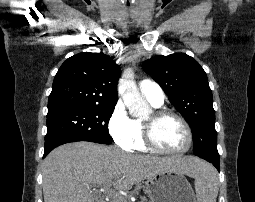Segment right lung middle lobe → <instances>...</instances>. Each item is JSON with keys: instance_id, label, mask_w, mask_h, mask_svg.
<instances>
[{"instance_id": "1", "label": "right lung middle lobe", "mask_w": 255, "mask_h": 202, "mask_svg": "<svg viewBox=\"0 0 255 202\" xmlns=\"http://www.w3.org/2000/svg\"><path fill=\"white\" fill-rule=\"evenodd\" d=\"M115 105H88L47 114L45 143L55 139L71 138L110 144L108 122Z\"/></svg>"}]
</instances>
